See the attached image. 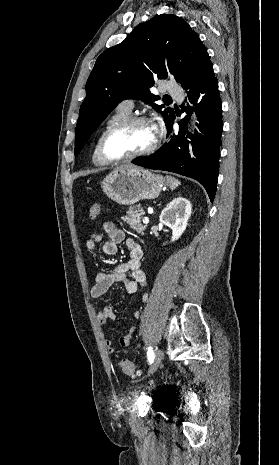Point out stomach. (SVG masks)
<instances>
[{
    "label": "stomach",
    "mask_w": 279,
    "mask_h": 465,
    "mask_svg": "<svg viewBox=\"0 0 279 465\" xmlns=\"http://www.w3.org/2000/svg\"><path fill=\"white\" fill-rule=\"evenodd\" d=\"M166 185L161 175L136 167H121L101 182L103 192L121 205L131 206L144 199H155Z\"/></svg>",
    "instance_id": "obj_1"
}]
</instances>
